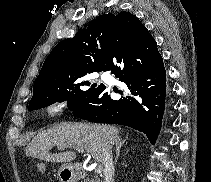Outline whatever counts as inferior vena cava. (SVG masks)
Returning <instances> with one entry per match:
<instances>
[{
  "label": "inferior vena cava",
  "mask_w": 211,
  "mask_h": 182,
  "mask_svg": "<svg viewBox=\"0 0 211 182\" xmlns=\"http://www.w3.org/2000/svg\"><path fill=\"white\" fill-rule=\"evenodd\" d=\"M104 180V182H113L114 180L112 148L109 146L104 149Z\"/></svg>",
  "instance_id": "602c4592"
}]
</instances>
